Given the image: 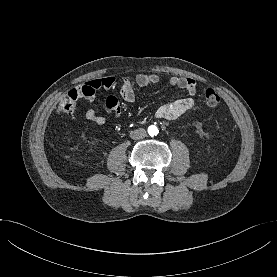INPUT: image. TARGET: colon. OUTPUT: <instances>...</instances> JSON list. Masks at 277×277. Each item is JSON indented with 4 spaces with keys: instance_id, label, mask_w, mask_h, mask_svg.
<instances>
[{
    "instance_id": "1",
    "label": "colon",
    "mask_w": 277,
    "mask_h": 277,
    "mask_svg": "<svg viewBox=\"0 0 277 277\" xmlns=\"http://www.w3.org/2000/svg\"><path fill=\"white\" fill-rule=\"evenodd\" d=\"M82 91L80 89H73L65 95L56 107L59 114L72 115L76 112L77 101L81 97ZM205 102L209 106H216L220 102L218 93L213 89H207L204 93Z\"/></svg>"
}]
</instances>
